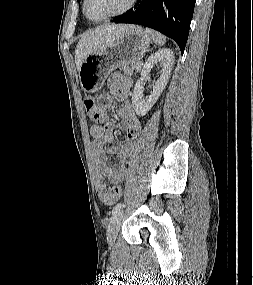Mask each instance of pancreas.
Here are the masks:
<instances>
[{"mask_svg": "<svg viewBox=\"0 0 253 285\" xmlns=\"http://www.w3.org/2000/svg\"><path fill=\"white\" fill-rule=\"evenodd\" d=\"M137 63H132L128 66L121 67V70L126 74V75H132L134 72V69L136 68Z\"/></svg>", "mask_w": 253, "mask_h": 285, "instance_id": "pancreas-1", "label": "pancreas"}]
</instances>
